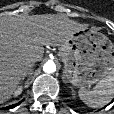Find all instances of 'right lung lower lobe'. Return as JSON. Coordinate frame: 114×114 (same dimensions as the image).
Wrapping results in <instances>:
<instances>
[{"instance_id":"1","label":"right lung lower lobe","mask_w":114,"mask_h":114,"mask_svg":"<svg viewBox=\"0 0 114 114\" xmlns=\"http://www.w3.org/2000/svg\"><path fill=\"white\" fill-rule=\"evenodd\" d=\"M19 104H20V102L17 103V104H15V105L8 106V108H13V107H15V106H17V105H19Z\"/></svg>"}]
</instances>
